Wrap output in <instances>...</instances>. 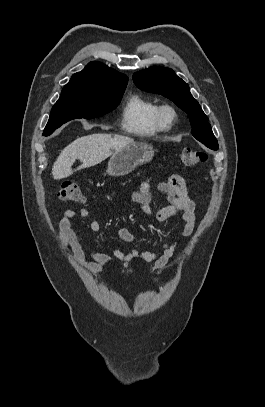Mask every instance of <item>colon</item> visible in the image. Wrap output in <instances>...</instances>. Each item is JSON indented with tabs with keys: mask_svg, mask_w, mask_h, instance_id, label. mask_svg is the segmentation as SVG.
Wrapping results in <instances>:
<instances>
[{
	"mask_svg": "<svg viewBox=\"0 0 265 407\" xmlns=\"http://www.w3.org/2000/svg\"><path fill=\"white\" fill-rule=\"evenodd\" d=\"M207 156L204 152L196 149L186 148L180 153L183 164L193 166L203 163ZM59 198L66 202H79L83 199V192L80 186L72 181L64 182L59 190Z\"/></svg>",
	"mask_w": 265,
	"mask_h": 407,
	"instance_id": "1",
	"label": "colon"
}]
</instances>
